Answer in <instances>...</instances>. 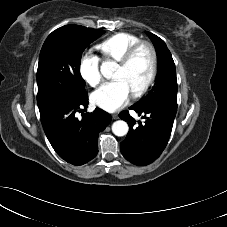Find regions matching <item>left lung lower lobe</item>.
Masks as SVG:
<instances>
[{
  "instance_id": "obj_1",
  "label": "left lung lower lobe",
  "mask_w": 227,
  "mask_h": 227,
  "mask_svg": "<svg viewBox=\"0 0 227 227\" xmlns=\"http://www.w3.org/2000/svg\"><path fill=\"white\" fill-rule=\"evenodd\" d=\"M144 119L136 121L129 111H122L119 117L128 122L129 132L120 150L126 160L134 165L146 166L154 162L165 149L177 112V108L160 103L144 107H130Z\"/></svg>"
}]
</instances>
